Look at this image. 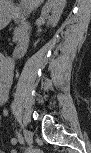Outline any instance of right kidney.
<instances>
[{"label":"right kidney","instance_id":"obj_1","mask_svg":"<svg viewBox=\"0 0 91 153\" xmlns=\"http://www.w3.org/2000/svg\"><path fill=\"white\" fill-rule=\"evenodd\" d=\"M64 5L59 0H48L41 11V16L47 18L52 27H55L63 12ZM51 12V16L49 13Z\"/></svg>","mask_w":91,"mask_h":153}]
</instances>
